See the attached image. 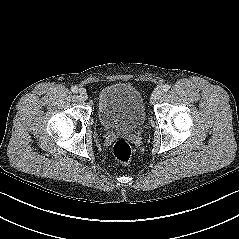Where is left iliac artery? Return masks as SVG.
<instances>
[{
	"label": "left iliac artery",
	"mask_w": 239,
	"mask_h": 239,
	"mask_svg": "<svg viewBox=\"0 0 239 239\" xmlns=\"http://www.w3.org/2000/svg\"><path fill=\"white\" fill-rule=\"evenodd\" d=\"M169 89H170V85H168V84H165V85H163V87H162V90H163L164 92H167Z\"/></svg>",
	"instance_id": "44dca946"
}]
</instances>
